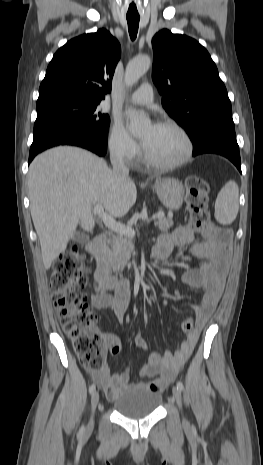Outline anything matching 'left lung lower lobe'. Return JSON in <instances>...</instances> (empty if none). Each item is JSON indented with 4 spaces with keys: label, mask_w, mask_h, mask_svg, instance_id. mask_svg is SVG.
<instances>
[{
    "label": "left lung lower lobe",
    "mask_w": 263,
    "mask_h": 465,
    "mask_svg": "<svg viewBox=\"0 0 263 465\" xmlns=\"http://www.w3.org/2000/svg\"><path fill=\"white\" fill-rule=\"evenodd\" d=\"M216 153L225 156L241 172L239 146L236 141L234 126H218L208 131L203 138L194 143L192 155Z\"/></svg>",
    "instance_id": "obj_1"
}]
</instances>
